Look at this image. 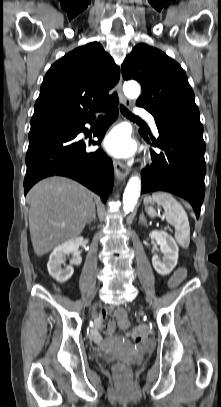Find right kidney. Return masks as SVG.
<instances>
[{"instance_id": "obj_1", "label": "right kidney", "mask_w": 221, "mask_h": 407, "mask_svg": "<svg viewBox=\"0 0 221 407\" xmlns=\"http://www.w3.org/2000/svg\"><path fill=\"white\" fill-rule=\"evenodd\" d=\"M82 243V237L67 240L58 245L50 254L47 268L50 276H52V278H54L57 282L64 283L73 275L74 268L72 266L62 268L61 265L65 264V258L67 255L77 253L78 248L82 245ZM79 261L81 262V259Z\"/></svg>"}]
</instances>
